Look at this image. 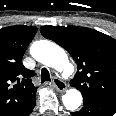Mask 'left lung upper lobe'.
Returning <instances> with one entry per match:
<instances>
[{
	"mask_svg": "<svg viewBox=\"0 0 116 116\" xmlns=\"http://www.w3.org/2000/svg\"><path fill=\"white\" fill-rule=\"evenodd\" d=\"M42 35L66 49L78 71L70 81L83 97L116 100V40L78 26L41 27Z\"/></svg>",
	"mask_w": 116,
	"mask_h": 116,
	"instance_id": "5c2ea615",
	"label": "left lung upper lobe"
}]
</instances>
